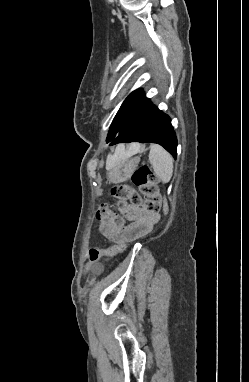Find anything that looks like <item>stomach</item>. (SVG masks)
<instances>
[{"instance_id": "obj_1", "label": "stomach", "mask_w": 249, "mask_h": 382, "mask_svg": "<svg viewBox=\"0 0 249 382\" xmlns=\"http://www.w3.org/2000/svg\"><path fill=\"white\" fill-rule=\"evenodd\" d=\"M139 161V157L116 159L113 156L110 166L107 168L109 183H121L129 179L137 168Z\"/></svg>"}]
</instances>
